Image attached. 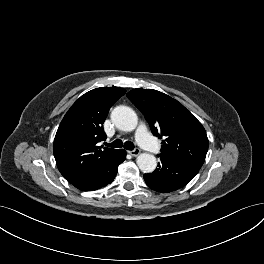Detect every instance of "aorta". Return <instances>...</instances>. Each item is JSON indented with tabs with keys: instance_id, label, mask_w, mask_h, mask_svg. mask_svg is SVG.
<instances>
[{
	"instance_id": "aorta-1",
	"label": "aorta",
	"mask_w": 264,
	"mask_h": 264,
	"mask_svg": "<svg viewBox=\"0 0 264 264\" xmlns=\"http://www.w3.org/2000/svg\"><path fill=\"white\" fill-rule=\"evenodd\" d=\"M111 119L123 131H133L138 124V118L134 110L123 105L113 109ZM136 162L139 169L144 173L153 172L157 166L155 156L149 153L140 154Z\"/></svg>"
}]
</instances>
